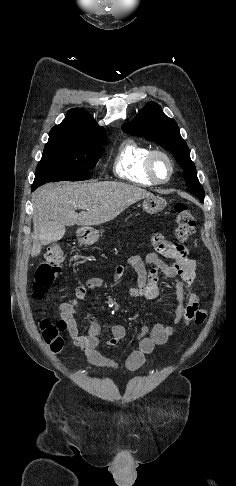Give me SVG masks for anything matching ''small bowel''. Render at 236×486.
<instances>
[{"label":"small bowel","instance_id":"c3829d8e","mask_svg":"<svg viewBox=\"0 0 236 486\" xmlns=\"http://www.w3.org/2000/svg\"><path fill=\"white\" fill-rule=\"evenodd\" d=\"M152 245L155 252H151L143 259L139 255H133L128 259V264L137 275V283L129 288V294L134 298L155 299L160 295L159 274L163 273L170 278H178L175 284V298L177 306L174 310V324L182 323L188 326L191 323L201 325L206 313L199 305V297L192 293L189 297L185 294L187 286L195 280L196 263L188 256L186 249L177 243H173L157 232L152 237ZM159 255L171 259L164 262ZM149 266V267H147ZM124 276V267L118 266L114 272V281ZM104 286V280L100 277H91L86 281L85 289L95 290ZM60 316L65 324L73 344L80 348L88 358V361L98 367L117 368L118 363L105 357L98 351L99 334L102 329L110 331L112 339L108 344L114 346L118 341L126 337V328L121 324L102 325L91 314L82 316L85 330L80 331L76 315V309L67 302L59 305ZM175 332L171 324L156 323L152 328L142 326L136 337L137 349L132 351L125 361V366L130 371H136L143 367L148 356L154 351L156 345L165 344Z\"/></svg>","mask_w":236,"mask_h":486}]
</instances>
